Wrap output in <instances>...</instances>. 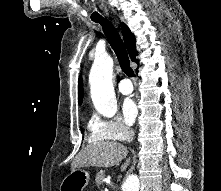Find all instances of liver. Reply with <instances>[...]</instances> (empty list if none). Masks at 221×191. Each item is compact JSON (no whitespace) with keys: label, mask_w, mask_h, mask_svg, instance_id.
<instances>
[{"label":"liver","mask_w":221,"mask_h":191,"mask_svg":"<svg viewBox=\"0 0 221 191\" xmlns=\"http://www.w3.org/2000/svg\"><path fill=\"white\" fill-rule=\"evenodd\" d=\"M127 148L116 142L102 141L84 147L72 162V170L81 167H104L108 168L119 163L127 156ZM130 159L121 166L124 171L128 167Z\"/></svg>","instance_id":"obj_1"}]
</instances>
